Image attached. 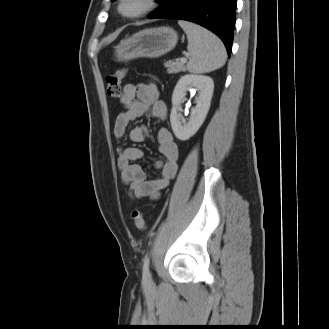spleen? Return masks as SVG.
<instances>
[{
    "mask_svg": "<svg viewBox=\"0 0 329 329\" xmlns=\"http://www.w3.org/2000/svg\"><path fill=\"white\" fill-rule=\"evenodd\" d=\"M188 39L190 54L187 70L208 73L221 68L226 62V49L222 41L207 29L188 21H178Z\"/></svg>",
    "mask_w": 329,
    "mask_h": 329,
    "instance_id": "obj_1",
    "label": "spleen"
}]
</instances>
